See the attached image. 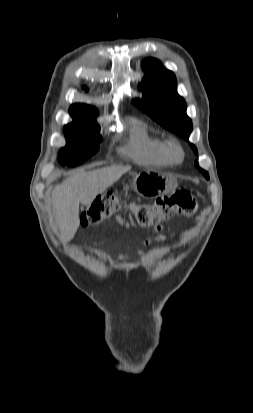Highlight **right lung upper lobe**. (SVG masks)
<instances>
[{"instance_id":"1","label":"right lung upper lobe","mask_w":253,"mask_h":413,"mask_svg":"<svg viewBox=\"0 0 253 413\" xmlns=\"http://www.w3.org/2000/svg\"><path fill=\"white\" fill-rule=\"evenodd\" d=\"M69 111L74 121H95L97 115V110L95 108L85 104H75L71 106Z\"/></svg>"}]
</instances>
